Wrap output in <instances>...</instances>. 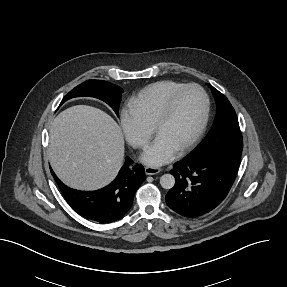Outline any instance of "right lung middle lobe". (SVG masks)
<instances>
[{
  "label": "right lung middle lobe",
  "instance_id": "dd1d6c3e",
  "mask_svg": "<svg viewBox=\"0 0 287 287\" xmlns=\"http://www.w3.org/2000/svg\"><path fill=\"white\" fill-rule=\"evenodd\" d=\"M122 93V88L112 83L102 80H88L76 86L64 97L62 102H65L73 97H95L107 103L118 115Z\"/></svg>",
  "mask_w": 287,
  "mask_h": 287
}]
</instances>
